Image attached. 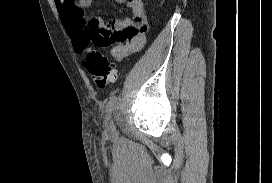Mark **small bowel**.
Masks as SVG:
<instances>
[{"label":"small bowel","mask_w":272,"mask_h":183,"mask_svg":"<svg viewBox=\"0 0 272 183\" xmlns=\"http://www.w3.org/2000/svg\"><path fill=\"white\" fill-rule=\"evenodd\" d=\"M125 4L131 17L123 16L107 23L102 17L88 18L85 10L92 0H55L72 46L78 53L89 52L93 45L111 42V56L116 60L139 52L146 43L147 18L144 0H115ZM123 30V31H122Z\"/></svg>","instance_id":"small-bowel-1"}]
</instances>
